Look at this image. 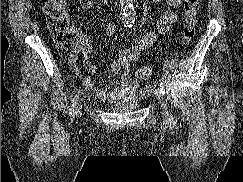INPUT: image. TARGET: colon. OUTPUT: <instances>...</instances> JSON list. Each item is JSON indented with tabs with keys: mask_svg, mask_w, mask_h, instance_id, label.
Returning <instances> with one entry per match:
<instances>
[{
	"mask_svg": "<svg viewBox=\"0 0 243 182\" xmlns=\"http://www.w3.org/2000/svg\"><path fill=\"white\" fill-rule=\"evenodd\" d=\"M200 5L201 0H184L183 45H188L196 34L197 14ZM43 13L49 29L53 32V40L60 55L68 61L74 59L77 45L75 34L69 27L67 0H46ZM151 76L152 69L149 67L137 70V77L141 80H148Z\"/></svg>",
	"mask_w": 243,
	"mask_h": 182,
	"instance_id": "obj_1",
	"label": "colon"
}]
</instances>
